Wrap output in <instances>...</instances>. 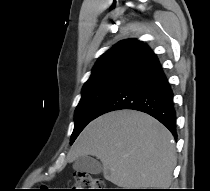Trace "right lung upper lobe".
Here are the masks:
<instances>
[{"label": "right lung upper lobe", "instance_id": "right-lung-upper-lobe-1", "mask_svg": "<svg viewBox=\"0 0 210 191\" xmlns=\"http://www.w3.org/2000/svg\"><path fill=\"white\" fill-rule=\"evenodd\" d=\"M142 45H143V42L135 40V39H128V40L120 41L118 42L117 45L113 46L108 51H106L103 55H101L94 69H96L97 67L106 63L107 61L113 58H116L118 56L128 55L132 57Z\"/></svg>", "mask_w": 210, "mask_h": 191}]
</instances>
